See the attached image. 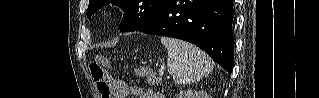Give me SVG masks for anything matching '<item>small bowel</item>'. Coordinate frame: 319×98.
<instances>
[{
	"instance_id": "small-bowel-1",
	"label": "small bowel",
	"mask_w": 319,
	"mask_h": 98,
	"mask_svg": "<svg viewBox=\"0 0 319 98\" xmlns=\"http://www.w3.org/2000/svg\"><path fill=\"white\" fill-rule=\"evenodd\" d=\"M114 98H126L128 95H134L137 98H162L161 95L149 89H143L139 86H132L123 80L110 79Z\"/></svg>"
}]
</instances>
